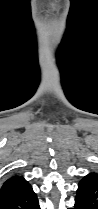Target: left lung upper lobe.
Wrapping results in <instances>:
<instances>
[{
    "mask_svg": "<svg viewBox=\"0 0 98 209\" xmlns=\"http://www.w3.org/2000/svg\"><path fill=\"white\" fill-rule=\"evenodd\" d=\"M87 176H96V177H98V175L96 173H89Z\"/></svg>",
    "mask_w": 98,
    "mask_h": 209,
    "instance_id": "obj_1",
    "label": "left lung upper lobe"
}]
</instances>
